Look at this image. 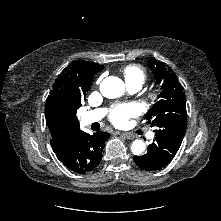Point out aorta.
<instances>
[{"instance_id": "aorta-1", "label": "aorta", "mask_w": 221, "mask_h": 221, "mask_svg": "<svg viewBox=\"0 0 221 221\" xmlns=\"http://www.w3.org/2000/svg\"><path fill=\"white\" fill-rule=\"evenodd\" d=\"M100 91L106 98H118L124 94V82L118 77H107L100 84ZM145 143L142 140H135L132 143L131 151L134 155H141L145 151Z\"/></svg>"}]
</instances>
